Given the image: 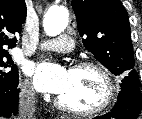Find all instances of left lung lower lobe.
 Returning <instances> with one entry per match:
<instances>
[{
  "mask_svg": "<svg viewBox=\"0 0 142 119\" xmlns=\"http://www.w3.org/2000/svg\"><path fill=\"white\" fill-rule=\"evenodd\" d=\"M141 108L142 94L140 87L130 86L125 89H121L117 103L109 113L103 116H98L95 119H104L109 117L117 119H136L140 114Z\"/></svg>",
  "mask_w": 142,
  "mask_h": 119,
  "instance_id": "1",
  "label": "left lung lower lobe"
}]
</instances>
